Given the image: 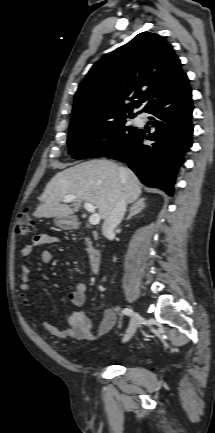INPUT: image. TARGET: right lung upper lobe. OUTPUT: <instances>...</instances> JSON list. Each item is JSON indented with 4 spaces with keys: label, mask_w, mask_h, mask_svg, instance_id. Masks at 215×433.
I'll return each mask as SVG.
<instances>
[{
    "label": "right lung upper lobe",
    "mask_w": 215,
    "mask_h": 433,
    "mask_svg": "<svg viewBox=\"0 0 215 433\" xmlns=\"http://www.w3.org/2000/svg\"><path fill=\"white\" fill-rule=\"evenodd\" d=\"M188 82L173 47L158 34L142 32L99 60L80 84L71 124H88L132 113L134 101L153 102Z\"/></svg>",
    "instance_id": "right-lung-upper-lobe-1"
}]
</instances>
